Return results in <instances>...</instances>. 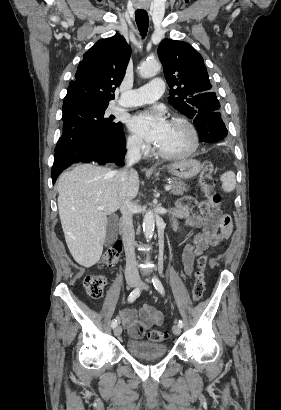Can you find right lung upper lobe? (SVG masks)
<instances>
[{"mask_svg": "<svg viewBox=\"0 0 281 410\" xmlns=\"http://www.w3.org/2000/svg\"><path fill=\"white\" fill-rule=\"evenodd\" d=\"M130 47L120 34L96 42L79 63L69 83L63 106L75 103L108 105L130 58Z\"/></svg>", "mask_w": 281, "mask_h": 410, "instance_id": "right-lung-upper-lobe-1", "label": "right lung upper lobe"}]
</instances>
